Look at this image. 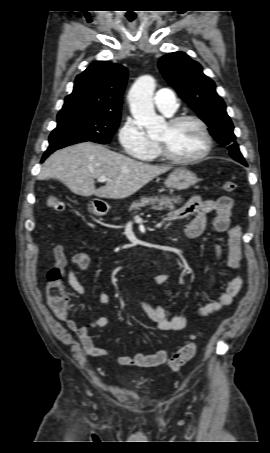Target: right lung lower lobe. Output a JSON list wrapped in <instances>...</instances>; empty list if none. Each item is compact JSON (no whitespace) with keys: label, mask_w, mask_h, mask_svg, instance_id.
Masks as SVG:
<instances>
[{"label":"right lung lower lobe","mask_w":270,"mask_h":453,"mask_svg":"<svg viewBox=\"0 0 270 453\" xmlns=\"http://www.w3.org/2000/svg\"><path fill=\"white\" fill-rule=\"evenodd\" d=\"M57 149H47V151L44 153L41 162H43L51 153H53Z\"/></svg>","instance_id":"98d812e1"}]
</instances>
